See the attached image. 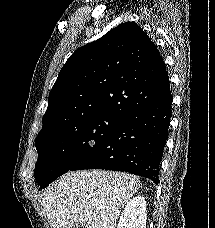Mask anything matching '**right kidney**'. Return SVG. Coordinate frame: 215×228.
<instances>
[{"label":"right kidney","mask_w":215,"mask_h":228,"mask_svg":"<svg viewBox=\"0 0 215 228\" xmlns=\"http://www.w3.org/2000/svg\"><path fill=\"white\" fill-rule=\"evenodd\" d=\"M143 196H136L127 202L117 228H146L147 212Z\"/></svg>","instance_id":"obj_1"}]
</instances>
